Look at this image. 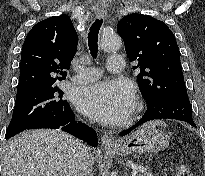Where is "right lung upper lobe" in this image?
Returning <instances> with one entry per match:
<instances>
[{
	"instance_id": "cb5924a9",
	"label": "right lung upper lobe",
	"mask_w": 205,
	"mask_h": 176,
	"mask_svg": "<svg viewBox=\"0 0 205 176\" xmlns=\"http://www.w3.org/2000/svg\"><path fill=\"white\" fill-rule=\"evenodd\" d=\"M77 42V33L67 15L50 17L34 25L22 48L17 95L53 87L64 80Z\"/></svg>"
}]
</instances>
